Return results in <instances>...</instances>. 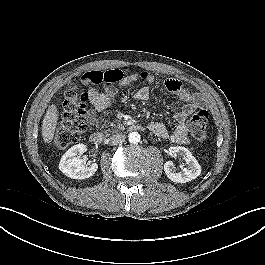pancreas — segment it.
<instances>
[{"label": "pancreas", "mask_w": 265, "mask_h": 265, "mask_svg": "<svg viewBox=\"0 0 265 265\" xmlns=\"http://www.w3.org/2000/svg\"><path fill=\"white\" fill-rule=\"evenodd\" d=\"M117 128H118L119 130H124V125H123V124H120V123H118V125H117Z\"/></svg>", "instance_id": "cf45deb5"}]
</instances>
